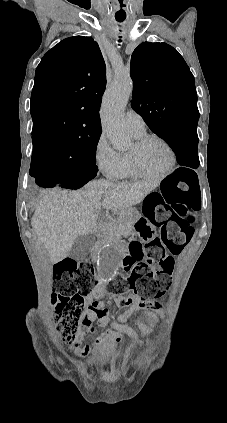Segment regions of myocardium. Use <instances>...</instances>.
<instances>
[{
    "label": "myocardium",
    "mask_w": 227,
    "mask_h": 423,
    "mask_svg": "<svg viewBox=\"0 0 227 423\" xmlns=\"http://www.w3.org/2000/svg\"><path fill=\"white\" fill-rule=\"evenodd\" d=\"M154 141L163 145L168 151L170 157L167 168L160 174H151L145 171L140 163V153L142 149ZM129 158L133 174L149 181H160L167 178L174 172L177 164V154L172 145L165 138L155 134L145 135L144 137L137 139L133 148L129 152Z\"/></svg>",
    "instance_id": "myocardium-1"
}]
</instances>
